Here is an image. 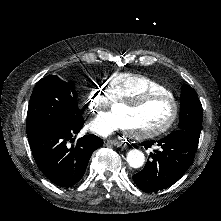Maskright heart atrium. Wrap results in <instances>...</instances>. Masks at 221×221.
<instances>
[{"label": "right heart atrium", "mask_w": 221, "mask_h": 221, "mask_svg": "<svg viewBox=\"0 0 221 221\" xmlns=\"http://www.w3.org/2000/svg\"><path fill=\"white\" fill-rule=\"evenodd\" d=\"M110 82V78L106 76L98 79L97 87L92 89L89 97L90 101L88 106L90 110L103 109L104 105L110 103L114 90ZM102 90L103 94L101 92Z\"/></svg>", "instance_id": "obj_1"}]
</instances>
